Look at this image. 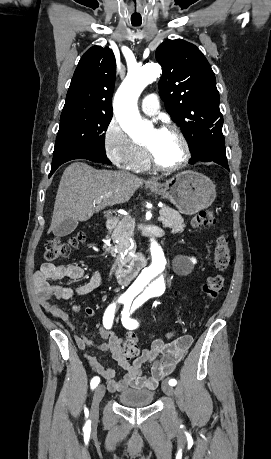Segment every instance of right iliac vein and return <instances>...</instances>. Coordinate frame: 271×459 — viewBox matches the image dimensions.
I'll use <instances>...</instances> for the list:
<instances>
[{"label": "right iliac vein", "instance_id": "obj_1", "mask_svg": "<svg viewBox=\"0 0 271 459\" xmlns=\"http://www.w3.org/2000/svg\"><path fill=\"white\" fill-rule=\"evenodd\" d=\"M105 394V386L99 385L94 392L93 400L91 404L90 415L92 419H96L99 414V403Z\"/></svg>", "mask_w": 271, "mask_h": 459}]
</instances>
